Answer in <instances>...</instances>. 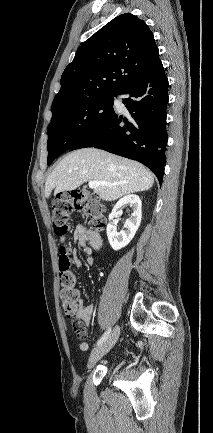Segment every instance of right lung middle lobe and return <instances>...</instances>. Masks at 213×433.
I'll use <instances>...</instances> for the list:
<instances>
[{
    "mask_svg": "<svg viewBox=\"0 0 213 433\" xmlns=\"http://www.w3.org/2000/svg\"><path fill=\"white\" fill-rule=\"evenodd\" d=\"M114 96L117 95L95 96L68 105L52 115L47 128L48 165L110 120L115 113Z\"/></svg>",
    "mask_w": 213,
    "mask_h": 433,
    "instance_id": "1",
    "label": "right lung middle lobe"
}]
</instances>
